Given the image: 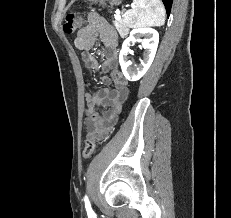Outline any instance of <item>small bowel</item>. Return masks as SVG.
Here are the masks:
<instances>
[{
  "instance_id": "c3829d8e",
  "label": "small bowel",
  "mask_w": 231,
  "mask_h": 218,
  "mask_svg": "<svg viewBox=\"0 0 231 218\" xmlns=\"http://www.w3.org/2000/svg\"><path fill=\"white\" fill-rule=\"evenodd\" d=\"M87 20V25L77 33L74 44L82 53L83 65L102 74L101 81L107 87L86 94L88 116L85 119V127L90 136L103 140L113 132L122 105L128 97L129 88L117 66V32L97 11L90 12ZM98 39L102 41L106 51L102 63L91 53ZM110 70L112 73L108 77L106 74ZM111 84L113 87H108ZM101 105L109 106L111 109L100 113L97 108Z\"/></svg>"
}]
</instances>
